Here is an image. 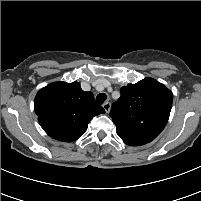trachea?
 <instances>
[{
    "label": "trachea",
    "instance_id": "1",
    "mask_svg": "<svg viewBox=\"0 0 201 201\" xmlns=\"http://www.w3.org/2000/svg\"><path fill=\"white\" fill-rule=\"evenodd\" d=\"M106 99H107V96H106L105 93H100V94H98L97 97H96V101H97V103L100 104V105L103 104Z\"/></svg>",
    "mask_w": 201,
    "mask_h": 201
}]
</instances>
